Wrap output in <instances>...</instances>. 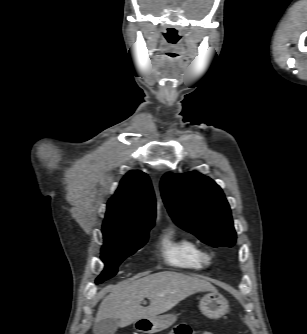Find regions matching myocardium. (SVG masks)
<instances>
[{
	"instance_id": "f54148a6",
	"label": "myocardium",
	"mask_w": 307,
	"mask_h": 334,
	"mask_svg": "<svg viewBox=\"0 0 307 334\" xmlns=\"http://www.w3.org/2000/svg\"><path fill=\"white\" fill-rule=\"evenodd\" d=\"M200 258L201 261L204 265H209L212 261V256L209 252L207 251H200Z\"/></svg>"
}]
</instances>
